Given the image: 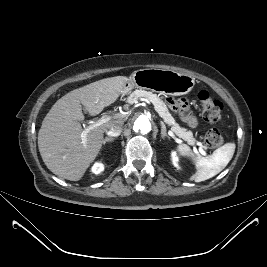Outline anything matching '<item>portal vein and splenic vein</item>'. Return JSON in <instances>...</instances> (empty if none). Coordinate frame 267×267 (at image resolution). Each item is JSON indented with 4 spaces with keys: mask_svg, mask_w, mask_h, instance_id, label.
Here are the masks:
<instances>
[{
    "mask_svg": "<svg viewBox=\"0 0 267 267\" xmlns=\"http://www.w3.org/2000/svg\"><path fill=\"white\" fill-rule=\"evenodd\" d=\"M142 101L146 102L147 104H150V101L148 99L142 98ZM111 117L110 116H103L102 118L98 119L97 121H95L93 124H91L88 128H86L83 133H82V140L83 142L86 141L87 138V133L89 130L94 129L96 127H99L105 123H107L108 121H110ZM173 135V134H172Z\"/></svg>",
    "mask_w": 267,
    "mask_h": 267,
    "instance_id": "1",
    "label": "portal vein and splenic vein"
}]
</instances>
